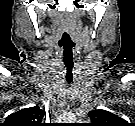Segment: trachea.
I'll list each match as a JSON object with an SVG mask.
<instances>
[{
	"instance_id": "3493384b",
	"label": "trachea",
	"mask_w": 135,
	"mask_h": 126,
	"mask_svg": "<svg viewBox=\"0 0 135 126\" xmlns=\"http://www.w3.org/2000/svg\"><path fill=\"white\" fill-rule=\"evenodd\" d=\"M64 65L66 68V81L70 85L72 83V80H73L72 70H73V65H74L72 54H71V56L64 57Z\"/></svg>"
}]
</instances>
